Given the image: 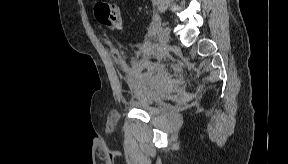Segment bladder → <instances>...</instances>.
<instances>
[{"mask_svg": "<svg viewBox=\"0 0 288 164\" xmlns=\"http://www.w3.org/2000/svg\"><path fill=\"white\" fill-rule=\"evenodd\" d=\"M154 101H155V95L153 93H150L149 95L145 96L138 102L137 107L140 110L148 111L153 106Z\"/></svg>", "mask_w": 288, "mask_h": 164, "instance_id": "31cf9c89", "label": "bladder"}]
</instances>
